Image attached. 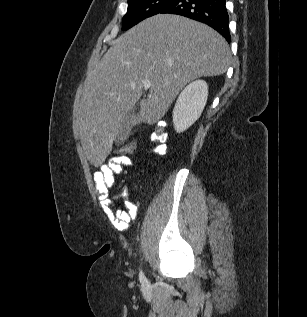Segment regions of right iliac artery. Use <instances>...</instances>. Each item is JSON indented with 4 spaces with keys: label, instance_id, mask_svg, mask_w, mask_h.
I'll list each match as a JSON object with an SVG mask.
<instances>
[{
    "label": "right iliac artery",
    "instance_id": "82829eb1",
    "mask_svg": "<svg viewBox=\"0 0 307 317\" xmlns=\"http://www.w3.org/2000/svg\"><path fill=\"white\" fill-rule=\"evenodd\" d=\"M139 279H140L141 283H145L146 282V277H145V275L143 274L142 271H140V273H139Z\"/></svg>",
    "mask_w": 307,
    "mask_h": 317
}]
</instances>
